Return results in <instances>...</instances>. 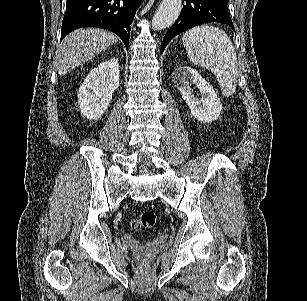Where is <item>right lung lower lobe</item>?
Returning <instances> with one entry per match:
<instances>
[{"instance_id": "1", "label": "right lung lower lobe", "mask_w": 307, "mask_h": 301, "mask_svg": "<svg viewBox=\"0 0 307 301\" xmlns=\"http://www.w3.org/2000/svg\"><path fill=\"white\" fill-rule=\"evenodd\" d=\"M142 0H67L61 40L81 27H100L116 33L128 48L131 23Z\"/></svg>"}]
</instances>
